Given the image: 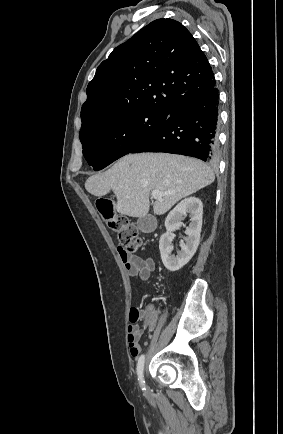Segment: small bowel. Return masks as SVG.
Returning <instances> with one entry per match:
<instances>
[{
  "instance_id": "c3829d8e",
  "label": "small bowel",
  "mask_w": 283,
  "mask_h": 434,
  "mask_svg": "<svg viewBox=\"0 0 283 434\" xmlns=\"http://www.w3.org/2000/svg\"><path fill=\"white\" fill-rule=\"evenodd\" d=\"M119 255L128 275L132 277L136 276L141 281H147L156 268V262L152 257L143 259L139 256L124 252L122 248H119ZM152 315L153 308L148 306L144 311V328L153 327ZM142 334L143 330L138 325L130 324L128 326L127 342L129 344L130 354L133 357H136L141 350L139 341Z\"/></svg>"
}]
</instances>
